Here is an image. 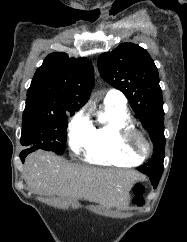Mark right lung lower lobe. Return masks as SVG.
I'll return each instance as SVG.
<instances>
[{
    "label": "right lung lower lobe",
    "instance_id": "1",
    "mask_svg": "<svg viewBox=\"0 0 187 242\" xmlns=\"http://www.w3.org/2000/svg\"><path fill=\"white\" fill-rule=\"evenodd\" d=\"M34 151H36V149L28 148V149L23 150V151L20 153L21 161L24 162L25 157H26L29 153L34 152Z\"/></svg>",
    "mask_w": 187,
    "mask_h": 242
}]
</instances>
